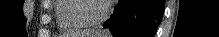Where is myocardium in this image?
I'll return each mask as SVG.
<instances>
[{
  "mask_svg": "<svg viewBox=\"0 0 219 37\" xmlns=\"http://www.w3.org/2000/svg\"><path fill=\"white\" fill-rule=\"evenodd\" d=\"M90 1H101V0H79L76 13L78 18L84 23L85 26L94 27L102 24L106 20L109 14L110 7L108 3L102 1L103 2L102 13L97 18L91 19L85 14V3Z\"/></svg>",
  "mask_w": 219,
  "mask_h": 37,
  "instance_id": "1",
  "label": "myocardium"
}]
</instances>
